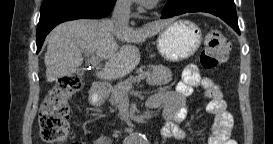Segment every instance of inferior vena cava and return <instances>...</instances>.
Masks as SVG:
<instances>
[{
	"label": "inferior vena cava",
	"mask_w": 273,
	"mask_h": 144,
	"mask_svg": "<svg viewBox=\"0 0 273 144\" xmlns=\"http://www.w3.org/2000/svg\"><path fill=\"white\" fill-rule=\"evenodd\" d=\"M132 0H117L111 21L115 27H127L129 24Z\"/></svg>",
	"instance_id": "602c4592"
}]
</instances>
